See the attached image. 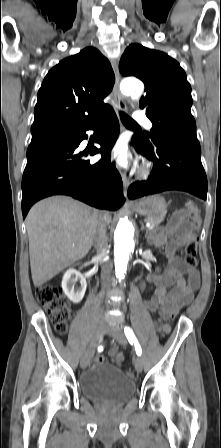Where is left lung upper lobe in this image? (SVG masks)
I'll list each match as a JSON object with an SVG mask.
<instances>
[{"label":"left lung upper lobe","instance_id":"left-lung-upper-lobe-1","mask_svg":"<svg viewBox=\"0 0 221 448\" xmlns=\"http://www.w3.org/2000/svg\"><path fill=\"white\" fill-rule=\"evenodd\" d=\"M119 70L123 76H136L145 84L146 95L140 107L146 109L153 127L150 133L135 137L139 143L152 147L157 138L198 142L190 110L191 86L177 61L161 51L131 44L120 60Z\"/></svg>","mask_w":221,"mask_h":448}]
</instances>
